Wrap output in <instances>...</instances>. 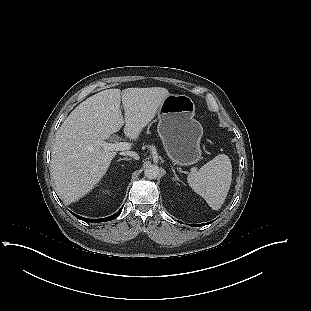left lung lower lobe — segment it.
Here are the masks:
<instances>
[{
	"instance_id": "0a47b994",
	"label": "left lung lower lobe",
	"mask_w": 311,
	"mask_h": 311,
	"mask_svg": "<svg viewBox=\"0 0 311 311\" xmlns=\"http://www.w3.org/2000/svg\"><path fill=\"white\" fill-rule=\"evenodd\" d=\"M210 223V222H209ZM208 224V223H206ZM204 224H198V225H190V226H194V227H197V226H203Z\"/></svg>"
}]
</instances>
